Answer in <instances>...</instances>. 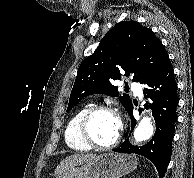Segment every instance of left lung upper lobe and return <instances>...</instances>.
I'll use <instances>...</instances> for the list:
<instances>
[{"mask_svg": "<svg viewBox=\"0 0 194 178\" xmlns=\"http://www.w3.org/2000/svg\"><path fill=\"white\" fill-rule=\"evenodd\" d=\"M167 57V51L151 29L136 21L118 23L107 32L95 52L80 64L67 111L91 94L119 96L113 80L133 75V82L142 83ZM119 100L126 110L132 106L126 94Z\"/></svg>", "mask_w": 194, "mask_h": 178, "instance_id": "5c2ea615", "label": "left lung upper lobe"}]
</instances>
